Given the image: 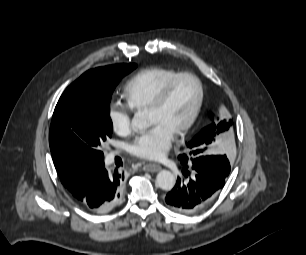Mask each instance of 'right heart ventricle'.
<instances>
[{
	"label": "right heart ventricle",
	"mask_w": 306,
	"mask_h": 255,
	"mask_svg": "<svg viewBox=\"0 0 306 255\" xmlns=\"http://www.w3.org/2000/svg\"><path fill=\"white\" fill-rule=\"evenodd\" d=\"M178 73L177 70L160 66L140 70L124 87L128 105L135 110L147 109L164 85Z\"/></svg>",
	"instance_id": "right-heart-ventricle-1"
}]
</instances>
